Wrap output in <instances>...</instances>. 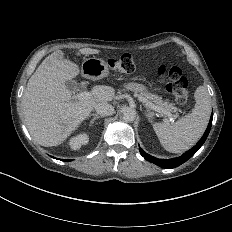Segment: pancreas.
Returning a JSON list of instances; mask_svg holds the SVG:
<instances>
[{"label": "pancreas", "instance_id": "1", "mask_svg": "<svg viewBox=\"0 0 232 232\" xmlns=\"http://www.w3.org/2000/svg\"><path fill=\"white\" fill-rule=\"evenodd\" d=\"M137 94H138L139 97H143V98H146L149 101L154 102L155 106L162 107L164 110L167 111V113L171 112V110L174 109L173 106L169 105L167 102H164L160 97L151 94L149 91L145 92V93H137Z\"/></svg>", "mask_w": 232, "mask_h": 232}]
</instances>
